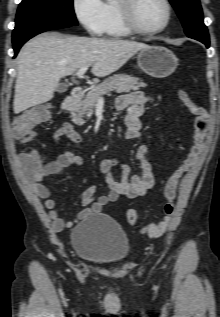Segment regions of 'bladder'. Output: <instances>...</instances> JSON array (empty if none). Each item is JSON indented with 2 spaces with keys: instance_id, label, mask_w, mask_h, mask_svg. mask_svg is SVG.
<instances>
[{
  "instance_id": "31cf9c89",
  "label": "bladder",
  "mask_w": 220,
  "mask_h": 317,
  "mask_svg": "<svg viewBox=\"0 0 220 317\" xmlns=\"http://www.w3.org/2000/svg\"><path fill=\"white\" fill-rule=\"evenodd\" d=\"M71 243L79 257L98 266H115L130 255L131 245L123 228L106 214H91L71 232Z\"/></svg>"
}]
</instances>
